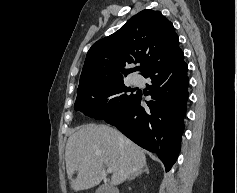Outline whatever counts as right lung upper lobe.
Listing matches in <instances>:
<instances>
[{
    "label": "right lung upper lobe",
    "mask_w": 237,
    "mask_h": 193,
    "mask_svg": "<svg viewBox=\"0 0 237 193\" xmlns=\"http://www.w3.org/2000/svg\"><path fill=\"white\" fill-rule=\"evenodd\" d=\"M179 50V38L173 24L160 11L143 10L114 34L91 46L77 91L122 80L136 69L145 75ZM131 63H140L141 67L127 68Z\"/></svg>",
    "instance_id": "1"
}]
</instances>
